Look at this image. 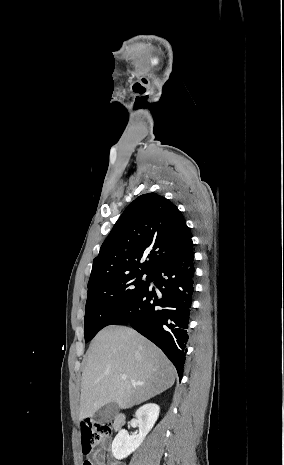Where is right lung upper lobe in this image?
<instances>
[{
    "label": "right lung upper lobe",
    "instance_id": "cb5924a9",
    "mask_svg": "<svg viewBox=\"0 0 284 465\" xmlns=\"http://www.w3.org/2000/svg\"><path fill=\"white\" fill-rule=\"evenodd\" d=\"M191 240L178 208L156 193L137 197L124 210L103 242L88 289L133 273L150 274ZM147 256L148 260L140 263Z\"/></svg>",
    "mask_w": 284,
    "mask_h": 465
}]
</instances>
